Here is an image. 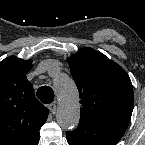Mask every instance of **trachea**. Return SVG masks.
<instances>
[{
    "instance_id": "3493384b",
    "label": "trachea",
    "mask_w": 145,
    "mask_h": 145,
    "mask_svg": "<svg viewBox=\"0 0 145 145\" xmlns=\"http://www.w3.org/2000/svg\"><path fill=\"white\" fill-rule=\"evenodd\" d=\"M37 97L41 100L44 104H50L54 100V92L51 87L49 86H42L37 90L36 93Z\"/></svg>"
}]
</instances>
